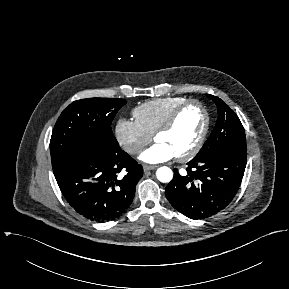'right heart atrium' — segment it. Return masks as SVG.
<instances>
[{"label": "right heart atrium", "mask_w": 289, "mask_h": 289, "mask_svg": "<svg viewBox=\"0 0 289 289\" xmlns=\"http://www.w3.org/2000/svg\"><path fill=\"white\" fill-rule=\"evenodd\" d=\"M114 134L118 144L130 155L139 154L152 140L136 121L127 118L117 120Z\"/></svg>", "instance_id": "d8ad5b80"}]
</instances>
